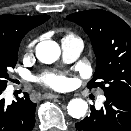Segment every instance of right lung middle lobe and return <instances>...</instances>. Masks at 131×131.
Listing matches in <instances>:
<instances>
[{
	"label": "right lung middle lobe",
	"mask_w": 131,
	"mask_h": 131,
	"mask_svg": "<svg viewBox=\"0 0 131 131\" xmlns=\"http://www.w3.org/2000/svg\"><path fill=\"white\" fill-rule=\"evenodd\" d=\"M22 38L7 41L0 40V89H5L10 79L8 71L14 68L17 63L19 43Z\"/></svg>",
	"instance_id": "dd1d6c3e"
}]
</instances>
